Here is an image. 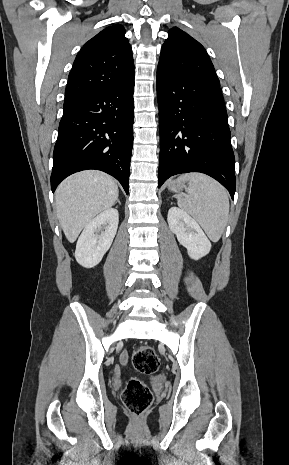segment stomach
Wrapping results in <instances>:
<instances>
[{
	"label": "stomach",
	"mask_w": 289,
	"mask_h": 465,
	"mask_svg": "<svg viewBox=\"0 0 289 465\" xmlns=\"http://www.w3.org/2000/svg\"><path fill=\"white\" fill-rule=\"evenodd\" d=\"M168 187L170 190L178 192V191H181L185 187V185L184 183H176V181H171L168 184Z\"/></svg>",
	"instance_id": "stomach-1"
}]
</instances>
